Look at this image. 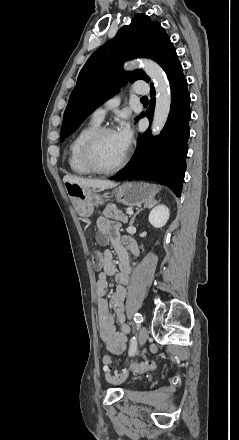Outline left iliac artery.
Segmentation results:
<instances>
[{
    "label": "left iliac artery",
    "instance_id": "obj_1",
    "mask_svg": "<svg viewBox=\"0 0 239 440\" xmlns=\"http://www.w3.org/2000/svg\"><path fill=\"white\" fill-rule=\"evenodd\" d=\"M134 321L136 323H142L143 322V316L141 314H139V313H136L134 315ZM136 348H137V341H136V338L133 337L130 340V347H129V352H128L130 356H132V355H134L136 353Z\"/></svg>",
    "mask_w": 239,
    "mask_h": 440
}]
</instances>
